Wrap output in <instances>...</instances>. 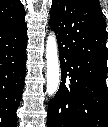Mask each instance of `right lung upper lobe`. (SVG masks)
<instances>
[{
    "label": "right lung upper lobe",
    "mask_w": 108,
    "mask_h": 127,
    "mask_svg": "<svg viewBox=\"0 0 108 127\" xmlns=\"http://www.w3.org/2000/svg\"><path fill=\"white\" fill-rule=\"evenodd\" d=\"M25 20L20 0H0V28L15 26Z\"/></svg>",
    "instance_id": "1"
}]
</instances>
